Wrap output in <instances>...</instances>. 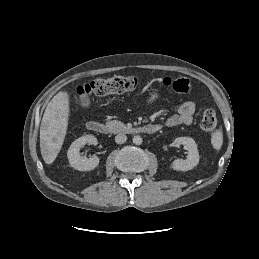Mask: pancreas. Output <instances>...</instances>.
Instances as JSON below:
<instances>
[{
	"label": "pancreas",
	"mask_w": 259,
	"mask_h": 259,
	"mask_svg": "<svg viewBox=\"0 0 259 259\" xmlns=\"http://www.w3.org/2000/svg\"><path fill=\"white\" fill-rule=\"evenodd\" d=\"M106 127L109 132L118 133V132H127L129 128L122 122L112 120L106 122Z\"/></svg>",
	"instance_id": "cf45deb5"
}]
</instances>
